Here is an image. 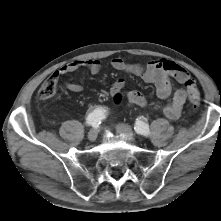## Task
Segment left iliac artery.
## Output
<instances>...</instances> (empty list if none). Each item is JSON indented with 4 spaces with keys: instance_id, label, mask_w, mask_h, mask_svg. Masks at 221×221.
<instances>
[{
    "instance_id": "left-iliac-artery-1",
    "label": "left iliac artery",
    "mask_w": 221,
    "mask_h": 221,
    "mask_svg": "<svg viewBox=\"0 0 221 221\" xmlns=\"http://www.w3.org/2000/svg\"><path fill=\"white\" fill-rule=\"evenodd\" d=\"M134 130L136 131L137 134H141L146 137H148L150 134L148 124L144 123L142 120L137 119L135 126H134Z\"/></svg>"
}]
</instances>
